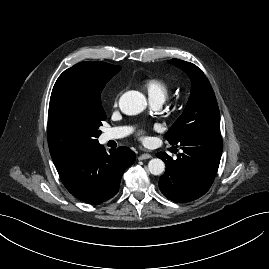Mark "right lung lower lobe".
<instances>
[{
	"label": "right lung lower lobe",
	"instance_id": "1",
	"mask_svg": "<svg viewBox=\"0 0 269 269\" xmlns=\"http://www.w3.org/2000/svg\"><path fill=\"white\" fill-rule=\"evenodd\" d=\"M135 159V153L128 147L107 154L98 144L54 164L72 195L83 202L99 204L117 194L123 172Z\"/></svg>",
	"mask_w": 269,
	"mask_h": 269
}]
</instances>
